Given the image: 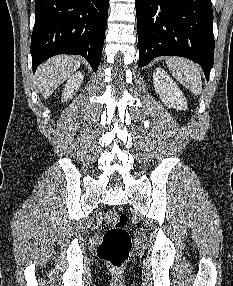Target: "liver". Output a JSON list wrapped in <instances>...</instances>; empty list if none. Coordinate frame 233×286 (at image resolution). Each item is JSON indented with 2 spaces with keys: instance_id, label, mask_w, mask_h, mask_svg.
I'll use <instances>...</instances> for the list:
<instances>
[{
  "instance_id": "6515ba94",
  "label": "liver",
  "mask_w": 233,
  "mask_h": 286,
  "mask_svg": "<svg viewBox=\"0 0 233 286\" xmlns=\"http://www.w3.org/2000/svg\"><path fill=\"white\" fill-rule=\"evenodd\" d=\"M81 64L76 56L60 55L47 60L36 71L39 92L47 99Z\"/></svg>"
}]
</instances>
